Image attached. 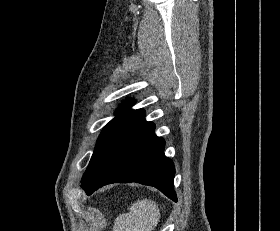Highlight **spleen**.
<instances>
[{"label":"spleen","mask_w":280,"mask_h":231,"mask_svg":"<svg viewBox=\"0 0 280 231\" xmlns=\"http://www.w3.org/2000/svg\"><path fill=\"white\" fill-rule=\"evenodd\" d=\"M160 217L156 201L138 199L131 203L128 213L116 217L113 231H152Z\"/></svg>","instance_id":"spleen-1"}]
</instances>
